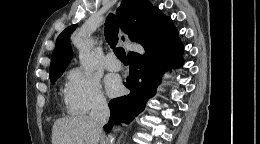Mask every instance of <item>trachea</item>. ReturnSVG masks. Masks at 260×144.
I'll return each mask as SVG.
<instances>
[{"mask_svg": "<svg viewBox=\"0 0 260 144\" xmlns=\"http://www.w3.org/2000/svg\"><path fill=\"white\" fill-rule=\"evenodd\" d=\"M118 32V22L113 14H109L105 21V39L110 47L114 50L117 58L123 63H128L125 50L122 47H116L118 42Z\"/></svg>", "mask_w": 260, "mask_h": 144, "instance_id": "trachea-1", "label": "trachea"}]
</instances>
